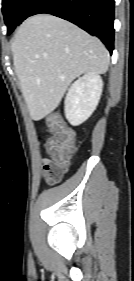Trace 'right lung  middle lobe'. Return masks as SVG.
Returning <instances> with one entry per match:
<instances>
[{
	"label": "right lung middle lobe",
	"mask_w": 134,
	"mask_h": 281,
	"mask_svg": "<svg viewBox=\"0 0 134 281\" xmlns=\"http://www.w3.org/2000/svg\"><path fill=\"white\" fill-rule=\"evenodd\" d=\"M31 0H2V12L10 34L22 22L24 10Z\"/></svg>",
	"instance_id": "dd1d6c3e"
}]
</instances>
